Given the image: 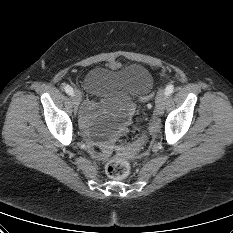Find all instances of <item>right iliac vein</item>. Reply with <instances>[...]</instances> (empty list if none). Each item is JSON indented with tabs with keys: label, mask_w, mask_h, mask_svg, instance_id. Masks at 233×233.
Returning a JSON list of instances; mask_svg holds the SVG:
<instances>
[{
	"label": "right iliac vein",
	"mask_w": 233,
	"mask_h": 233,
	"mask_svg": "<svg viewBox=\"0 0 233 233\" xmlns=\"http://www.w3.org/2000/svg\"><path fill=\"white\" fill-rule=\"evenodd\" d=\"M81 100H82V95L78 90H76L73 94V104H74V111L75 112H77L78 106H79Z\"/></svg>",
	"instance_id": "63e3f726"
}]
</instances>
